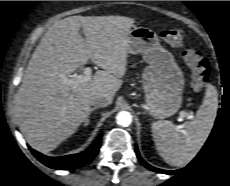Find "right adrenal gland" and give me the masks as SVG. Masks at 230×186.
Masks as SVG:
<instances>
[{"label": "right adrenal gland", "mask_w": 230, "mask_h": 186, "mask_svg": "<svg viewBox=\"0 0 230 186\" xmlns=\"http://www.w3.org/2000/svg\"><path fill=\"white\" fill-rule=\"evenodd\" d=\"M97 108H98V107H93V108L91 109V112L89 113L88 117L86 118V120H85L83 126H87V125L90 123V117H89V116H90V114H91L93 111H95Z\"/></svg>", "instance_id": "obj_1"}]
</instances>
